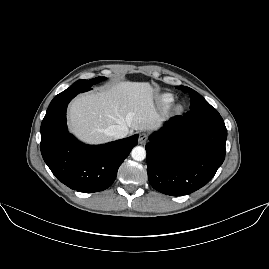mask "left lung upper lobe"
<instances>
[{"instance_id": "1", "label": "left lung upper lobe", "mask_w": 269, "mask_h": 269, "mask_svg": "<svg viewBox=\"0 0 269 269\" xmlns=\"http://www.w3.org/2000/svg\"><path fill=\"white\" fill-rule=\"evenodd\" d=\"M184 88V87H183ZM188 90L191 98L190 111L187 113L189 118H200L210 115H220L218 111L213 108L200 94L190 88H184Z\"/></svg>"}]
</instances>
